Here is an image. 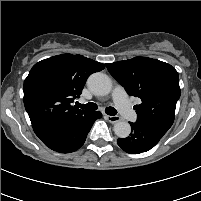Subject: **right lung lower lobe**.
<instances>
[{"instance_id": "right-lung-lower-lobe-1", "label": "right lung lower lobe", "mask_w": 201, "mask_h": 201, "mask_svg": "<svg viewBox=\"0 0 201 201\" xmlns=\"http://www.w3.org/2000/svg\"><path fill=\"white\" fill-rule=\"evenodd\" d=\"M101 112H89L87 115L69 123H40L33 125L35 134L50 149L60 153H70L79 149Z\"/></svg>"}]
</instances>
